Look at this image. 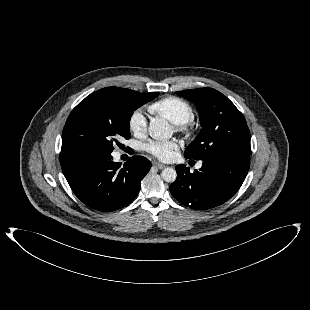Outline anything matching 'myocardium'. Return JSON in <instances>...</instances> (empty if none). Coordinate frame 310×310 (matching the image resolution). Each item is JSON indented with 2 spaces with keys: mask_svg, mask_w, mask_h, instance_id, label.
<instances>
[{
  "mask_svg": "<svg viewBox=\"0 0 310 310\" xmlns=\"http://www.w3.org/2000/svg\"><path fill=\"white\" fill-rule=\"evenodd\" d=\"M178 130L183 131L187 135H191L194 130V124L192 121L177 125Z\"/></svg>",
  "mask_w": 310,
  "mask_h": 310,
  "instance_id": "f54148a6",
  "label": "myocardium"
}]
</instances>
